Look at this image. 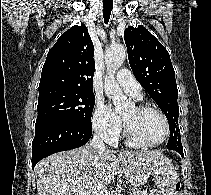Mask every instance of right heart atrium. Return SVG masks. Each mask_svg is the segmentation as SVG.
Masks as SVG:
<instances>
[{"instance_id":"obj_1","label":"right heart atrium","mask_w":211,"mask_h":195,"mask_svg":"<svg viewBox=\"0 0 211 195\" xmlns=\"http://www.w3.org/2000/svg\"><path fill=\"white\" fill-rule=\"evenodd\" d=\"M92 126L106 142L116 143L122 130V120L108 105L98 100L92 115Z\"/></svg>"}]
</instances>
